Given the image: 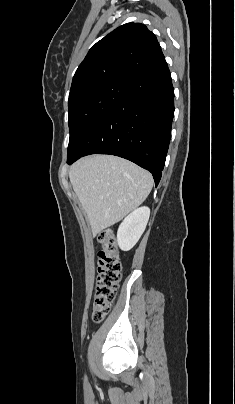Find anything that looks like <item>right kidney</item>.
Segmentation results:
<instances>
[{
	"instance_id": "1",
	"label": "right kidney",
	"mask_w": 235,
	"mask_h": 404,
	"mask_svg": "<svg viewBox=\"0 0 235 404\" xmlns=\"http://www.w3.org/2000/svg\"><path fill=\"white\" fill-rule=\"evenodd\" d=\"M149 216L150 209L141 207L123 220L117 232V242L121 250L129 251L134 247L146 228Z\"/></svg>"
}]
</instances>
